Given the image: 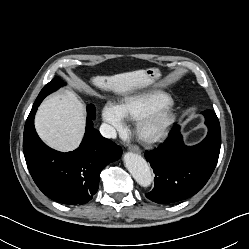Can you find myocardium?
Segmentation results:
<instances>
[{"instance_id":"1","label":"myocardium","mask_w":249,"mask_h":249,"mask_svg":"<svg viewBox=\"0 0 249 249\" xmlns=\"http://www.w3.org/2000/svg\"><path fill=\"white\" fill-rule=\"evenodd\" d=\"M175 121L173 104L168 102L148 111L138 119L136 132L146 143H154L163 138Z\"/></svg>"}]
</instances>
